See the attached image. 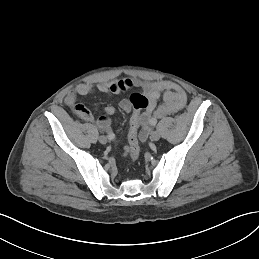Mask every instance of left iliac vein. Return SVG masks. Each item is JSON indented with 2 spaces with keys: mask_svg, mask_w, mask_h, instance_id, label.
I'll return each mask as SVG.
<instances>
[{
  "mask_svg": "<svg viewBox=\"0 0 259 259\" xmlns=\"http://www.w3.org/2000/svg\"><path fill=\"white\" fill-rule=\"evenodd\" d=\"M151 138L154 141H158L160 139V133L158 131H153L151 134Z\"/></svg>",
  "mask_w": 259,
  "mask_h": 259,
  "instance_id": "left-iliac-vein-1",
  "label": "left iliac vein"
}]
</instances>
